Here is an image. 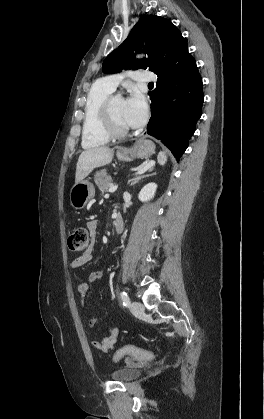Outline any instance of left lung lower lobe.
Listing matches in <instances>:
<instances>
[{"instance_id":"0a47b994","label":"left lung lower lobe","mask_w":264,"mask_h":419,"mask_svg":"<svg viewBox=\"0 0 264 419\" xmlns=\"http://www.w3.org/2000/svg\"><path fill=\"white\" fill-rule=\"evenodd\" d=\"M164 52L155 73L156 88L149 92L152 105L147 133L161 140L179 161L202 114L203 84L186 38L180 35Z\"/></svg>"}]
</instances>
